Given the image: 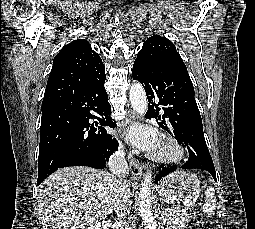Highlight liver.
Returning a JSON list of instances; mask_svg holds the SVG:
<instances>
[{"label":"liver","instance_id":"obj_1","mask_svg":"<svg viewBox=\"0 0 255 229\" xmlns=\"http://www.w3.org/2000/svg\"><path fill=\"white\" fill-rule=\"evenodd\" d=\"M126 188L133 196L132 184ZM116 177L86 166L57 170L42 182L39 204L53 229H87L114 209Z\"/></svg>","mask_w":255,"mask_h":229}]
</instances>
